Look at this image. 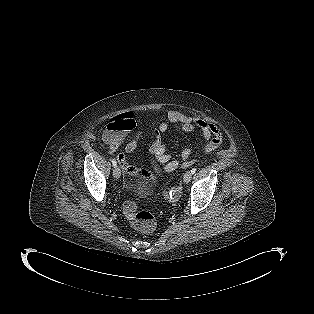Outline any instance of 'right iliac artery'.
Returning a JSON list of instances; mask_svg holds the SVG:
<instances>
[{
  "mask_svg": "<svg viewBox=\"0 0 314 314\" xmlns=\"http://www.w3.org/2000/svg\"><path fill=\"white\" fill-rule=\"evenodd\" d=\"M112 164H113V166H114V167H116L117 162H116V160H115V159H112Z\"/></svg>",
  "mask_w": 314,
  "mask_h": 314,
  "instance_id": "82829eb1",
  "label": "right iliac artery"
}]
</instances>
